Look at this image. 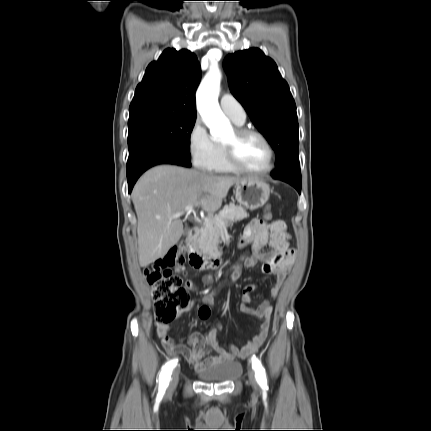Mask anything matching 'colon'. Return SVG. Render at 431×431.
<instances>
[{
  "instance_id": "5ec220e1",
  "label": "colon",
  "mask_w": 431,
  "mask_h": 431,
  "mask_svg": "<svg viewBox=\"0 0 431 431\" xmlns=\"http://www.w3.org/2000/svg\"><path fill=\"white\" fill-rule=\"evenodd\" d=\"M264 216L267 219L271 218L270 207L266 208ZM241 258H244V255H241ZM241 258H237V261H241ZM184 263V251L174 247L164 257L158 259L151 268L146 270L147 281L152 287L156 319L160 324L174 319L180 310L184 309L185 313H190L192 310L193 304H189L190 297L186 285H183L180 276L173 273L174 268L182 270ZM239 265H242V262H238V265L237 262H232L226 266L225 269L228 271V275H232L230 271H241L242 268ZM236 283V277L219 279L216 287L214 286L211 290H207L203 299L199 298V300L195 301V306L202 307L198 310L200 322H210L212 320L209 302H214V296L221 297L225 289H232L233 284ZM202 300L203 302H201Z\"/></svg>"
}]
</instances>
